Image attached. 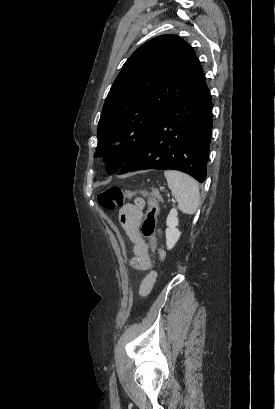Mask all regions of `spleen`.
I'll use <instances>...</instances> for the list:
<instances>
[{"label": "spleen", "instance_id": "obj_1", "mask_svg": "<svg viewBox=\"0 0 275 409\" xmlns=\"http://www.w3.org/2000/svg\"><path fill=\"white\" fill-rule=\"evenodd\" d=\"M168 186L178 202V209L186 215H194L198 209L200 194L198 182L179 170H165Z\"/></svg>", "mask_w": 275, "mask_h": 409}]
</instances>
